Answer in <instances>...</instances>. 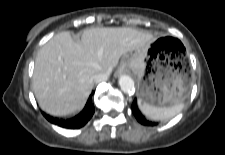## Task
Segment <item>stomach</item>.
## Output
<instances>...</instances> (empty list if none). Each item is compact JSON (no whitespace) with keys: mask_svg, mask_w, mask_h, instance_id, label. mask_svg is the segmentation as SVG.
Returning a JSON list of instances; mask_svg holds the SVG:
<instances>
[{"mask_svg":"<svg viewBox=\"0 0 225 155\" xmlns=\"http://www.w3.org/2000/svg\"><path fill=\"white\" fill-rule=\"evenodd\" d=\"M159 42L155 40L145 54L135 51L123 64L138 78L139 98L152 106L169 107L182 102L190 90L189 76L182 64L160 58Z\"/></svg>","mask_w":225,"mask_h":155,"instance_id":"obj_1","label":"stomach"}]
</instances>
